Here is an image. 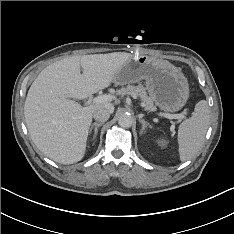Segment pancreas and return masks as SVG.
Listing matches in <instances>:
<instances>
[{"label": "pancreas", "instance_id": "obj_1", "mask_svg": "<svg viewBox=\"0 0 234 234\" xmlns=\"http://www.w3.org/2000/svg\"><path fill=\"white\" fill-rule=\"evenodd\" d=\"M116 92L119 95L130 94L132 96L139 97L140 100L142 101V106L146 110H150V111L155 110V106H154L151 98L148 97V95L145 91V88L141 84H139L138 86L128 85L126 87H122V88L118 89Z\"/></svg>", "mask_w": 234, "mask_h": 234}]
</instances>
